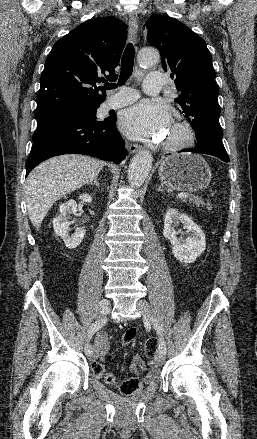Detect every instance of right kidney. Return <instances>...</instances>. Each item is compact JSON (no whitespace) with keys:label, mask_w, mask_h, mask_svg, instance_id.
I'll list each match as a JSON object with an SVG mask.
<instances>
[{"label":"right kidney","mask_w":257,"mask_h":439,"mask_svg":"<svg viewBox=\"0 0 257 439\" xmlns=\"http://www.w3.org/2000/svg\"><path fill=\"white\" fill-rule=\"evenodd\" d=\"M79 199L85 201L87 203L92 202V197L89 194H82ZM77 212V203L75 200H69L64 204H61L59 207V215L53 219V228L56 236H59L63 239L65 245L69 249H75L82 242L86 231L82 228H78L75 230V233L72 235L70 232V222L68 219L71 214H76Z\"/></svg>","instance_id":"ca27d5eb"}]
</instances>
